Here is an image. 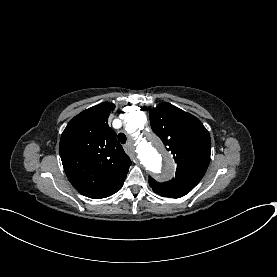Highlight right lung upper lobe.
<instances>
[{
    "mask_svg": "<svg viewBox=\"0 0 277 277\" xmlns=\"http://www.w3.org/2000/svg\"><path fill=\"white\" fill-rule=\"evenodd\" d=\"M113 103L84 110L66 126L60 139L65 173L82 195L94 199L116 193L123 185L131 161L108 126Z\"/></svg>",
    "mask_w": 277,
    "mask_h": 277,
    "instance_id": "right-lung-upper-lobe-1",
    "label": "right lung upper lobe"
}]
</instances>
